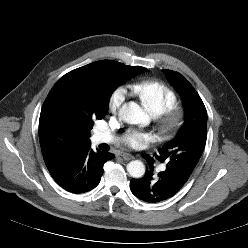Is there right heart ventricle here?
<instances>
[{
    "mask_svg": "<svg viewBox=\"0 0 248 248\" xmlns=\"http://www.w3.org/2000/svg\"><path fill=\"white\" fill-rule=\"evenodd\" d=\"M130 89L153 116H158L176 106L178 101L176 92L158 80H142L133 83Z\"/></svg>",
    "mask_w": 248,
    "mask_h": 248,
    "instance_id": "right-heart-ventricle-1",
    "label": "right heart ventricle"
}]
</instances>
